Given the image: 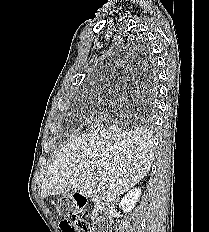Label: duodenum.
I'll list each match as a JSON object with an SVG mask.
<instances>
[{"instance_id":"1","label":"duodenum","mask_w":209,"mask_h":232,"mask_svg":"<svg viewBox=\"0 0 209 232\" xmlns=\"http://www.w3.org/2000/svg\"><path fill=\"white\" fill-rule=\"evenodd\" d=\"M75 198L79 207H82L87 203V198L82 194H77ZM91 201L94 205L95 232H106L110 226L107 204L99 198L91 199Z\"/></svg>"}]
</instances>
